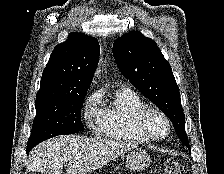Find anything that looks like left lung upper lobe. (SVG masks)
<instances>
[{
  "instance_id": "5c2ea615",
  "label": "left lung upper lobe",
  "mask_w": 224,
  "mask_h": 174,
  "mask_svg": "<svg viewBox=\"0 0 224 174\" xmlns=\"http://www.w3.org/2000/svg\"><path fill=\"white\" fill-rule=\"evenodd\" d=\"M113 55L123 75L164 112L190 151L179 88L156 43L140 32H130L114 42Z\"/></svg>"
}]
</instances>
